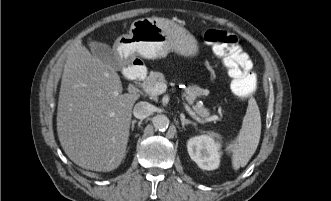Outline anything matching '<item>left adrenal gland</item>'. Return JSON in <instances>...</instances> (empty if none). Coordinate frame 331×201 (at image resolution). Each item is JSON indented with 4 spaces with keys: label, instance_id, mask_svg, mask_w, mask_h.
I'll list each match as a JSON object with an SVG mask.
<instances>
[{
    "label": "left adrenal gland",
    "instance_id": "1",
    "mask_svg": "<svg viewBox=\"0 0 331 201\" xmlns=\"http://www.w3.org/2000/svg\"><path fill=\"white\" fill-rule=\"evenodd\" d=\"M180 120H181L182 128H184L185 125H188V124H191L193 126H196V123L195 122H192V121L186 119L185 116H183V115L181 116Z\"/></svg>",
    "mask_w": 331,
    "mask_h": 201
}]
</instances>
